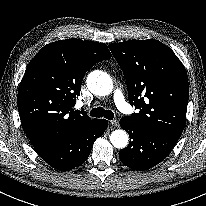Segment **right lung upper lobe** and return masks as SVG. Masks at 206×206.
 <instances>
[{"instance_id":"right-lung-upper-lobe-1","label":"right lung upper lobe","mask_w":206,"mask_h":206,"mask_svg":"<svg viewBox=\"0 0 206 206\" xmlns=\"http://www.w3.org/2000/svg\"><path fill=\"white\" fill-rule=\"evenodd\" d=\"M111 54L104 43L67 39L47 44L28 64L18 111L34 147L68 139L95 120L74 110L84 74Z\"/></svg>"}]
</instances>
